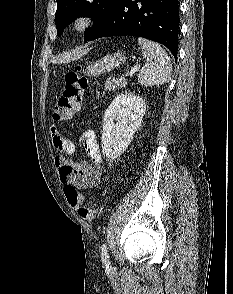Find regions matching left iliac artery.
<instances>
[{
  "instance_id": "1",
  "label": "left iliac artery",
  "mask_w": 233,
  "mask_h": 294,
  "mask_svg": "<svg viewBox=\"0 0 233 294\" xmlns=\"http://www.w3.org/2000/svg\"><path fill=\"white\" fill-rule=\"evenodd\" d=\"M101 259L106 268L110 267L108 249L106 243H104L101 247Z\"/></svg>"
}]
</instances>
